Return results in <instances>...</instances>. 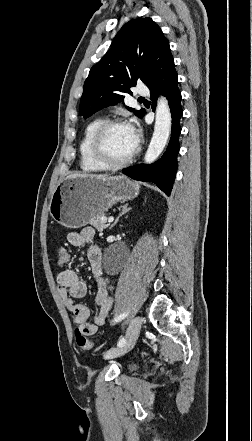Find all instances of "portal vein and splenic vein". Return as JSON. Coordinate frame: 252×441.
Wrapping results in <instances>:
<instances>
[{
  "label": "portal vein and splenic vein",
  "mask_w": 252,
  "mask_h": 441,
  "mask_svg": "<svg viewBox=\"0 0 252 441\" xmlns=\"http://www.w3.org/2000/svg\"><path fill=\"white\" fill-rule=\"evenodd\" d=\"M102 219H104V218H102ZM113 220H114L113 217H109V218H108V222H113Z\"/></svg>",
  "instance_id": "portal-vein-and-splenic-vein-1"
}]
</instances>
